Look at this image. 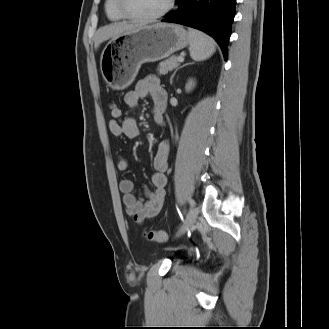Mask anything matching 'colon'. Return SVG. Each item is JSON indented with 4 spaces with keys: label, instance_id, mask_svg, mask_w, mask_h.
I'll return each mask as SVG.
<instances>
[{
    "label": "colon",
    "instance_id": "5ec220e1",
    "mask_svg": "<svg viewBox=\"0 0 329 329\" xmlns=\"http://www.w3.org/2000/svg\"><path fill=\"white\" fill-rule=\"evenodd\" d=\"M110 110L113 119H119L121 117V108L118 104L112 102ZM145 238L149 241L162 243L168 240L169 232L166 230H148L145 233Z\"/></svg>",
    "mask_w": 329,
    "mask_h": 329
}]
</instances>
